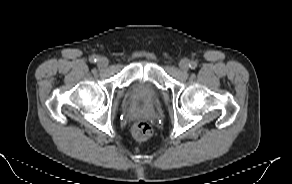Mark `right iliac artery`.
I'll return each instance as SVG.
<instances>
[{
    "label": "right iliac artery",
    "mask_w": 292,
    "mask_h": 184,
    "mask_svg": "<svg viewBox=\"0 0 292 184\" xmlns=\"http://www.w3.org/2000/svg\"><path fill=\"white\" fill-rule=\"evenodd\" d=\"M97 60H98L97 56L94 55L90 58V62L92 63H95Z\"/></svg>",
    "instance_id": "1"
}]
</instances>
